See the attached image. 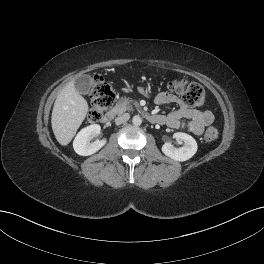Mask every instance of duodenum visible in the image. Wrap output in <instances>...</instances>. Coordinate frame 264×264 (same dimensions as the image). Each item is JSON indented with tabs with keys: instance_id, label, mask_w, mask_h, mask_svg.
I'll list each match as a JSON object with an SVG mask.
<instances>
[{
	"instance_id": "1",
	"label": "duodenum",
	"mask_w": 264,
	"mask_h": 264,
	"mask_svg": "<svg viewBox=\"0 0 264 264\" xmlns=\"http://www.w3.org/2000/svg\"><path fill=\"white\" fill-rule=\"evenodd\" d=\"M118 114H119L118 110L116 109L110 110L104 114L101 121L105 124L110 123ZM144 116L151 123L161 124L164 120L161 115H157V114L145 113Z\"/></svg>"
}]
</instances>
